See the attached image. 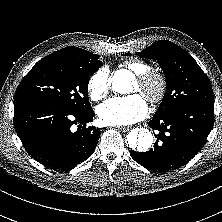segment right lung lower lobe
Segmentation results:
<instances>
[{
	"label": "right lung lower lobe",
	"mask_w": 222,
	"mask_h": 222,
	"mask_svg": "<svg viewBox=\"0 0 222 222\" xmlns=\"http://www.w3.org/2000/svg\"><path fill=\"white\" fill-rule=\"evenodd\" d=\"M92 108L71 111L41 99L14 100V127L24 148L37 162L57 171H68L88 159L101 129L86 128ZM78 125L73 132L72 126Z\"/></svg>",
	"instance_id": "right-lung-lower-lobe-1"
}]
</instances>
